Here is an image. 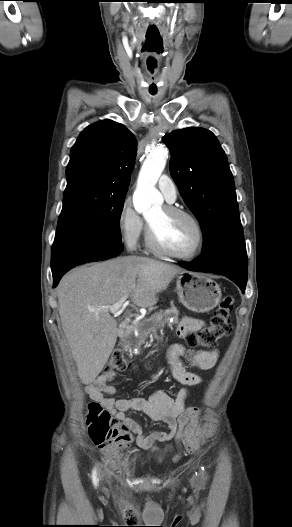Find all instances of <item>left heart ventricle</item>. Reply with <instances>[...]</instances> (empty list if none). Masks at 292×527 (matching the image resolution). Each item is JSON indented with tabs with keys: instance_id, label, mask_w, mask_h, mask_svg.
<instances>
[{
	"instance_id": "obj_1",
	"label": "left heart ventricle",
	"mask_w": 292,
	"mask_h": 527,
	"mask_svg": "<svg viewBox=\"0 0 292 527\" xmlns=\"http://www.w3.org/2000/svg\"><path fill=\"white\" fill-rule=\"evenodd\" d=\"M147 221L160 244L171 251L188 253L196 244V228L185 216L169 214L162 206L152 211L147 216Z\"/></svg>"
}]
</instances>
